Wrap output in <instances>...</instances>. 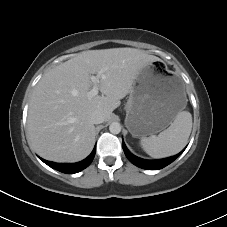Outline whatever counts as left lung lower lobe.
Instances as JSON below:
<instances>
[{
	"label": "left lung lower lobe",
	"mask_w": 227,
	"mask_h": 227,
	"mask_svg": "<svg viewBox=\"0 0 227 227\" xmlns=\"http://www.w3.org/2000/svg\"><path fill=\"white\" fill-rule=\"evenodd\" d=\"M124 153L126 155V157L128 158V160L133 163L134 165L143 168V169H147V170H158V169H162L165 166L169 165L170 163H172L176 158H178L181 153L184 151H181L179 154L169 157V158H165V159H160V160H145V159H141L139 157L134 156L132 153H130V151L127 149L125 143L123 142L122 144Z\"/></svg>",
	"instance_id": "1"
}]
</instances>
